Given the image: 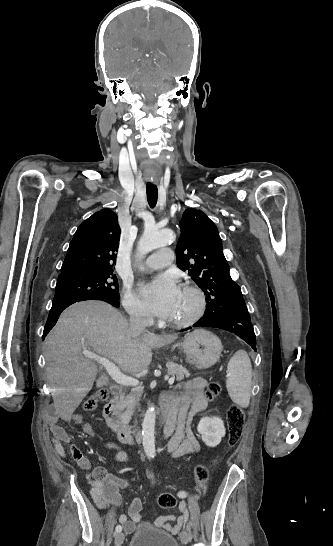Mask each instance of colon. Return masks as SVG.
<instances>
[{"label": "colon", "mask_w": 333, "mask_h": 546, "mask_svg": "<svg viewBox=\"0 0 333 546\" xmlns=\"http://www.w3.org/2000/svg\"><path fill=\"white\" fill-rule=\"evenodd\" d=\"M221 392V386L217 382H211L204 391V396L208 401L215 399ZM109 397V393L106 389H100L95 394L88 397L84 403L83 408L87 411L94 410L99 401H105ZM228 426V439L227 446H235L242 434L243 425L245 422V415L243 410L238 405H231L226 415ZM219 459L215 458L212 461L213 465L218 463ZM195 477L198 492L203 494L207 487L208 481V469L203 465H199L195 469ZM158 504L162 509L174 508L177 504L176 497L169 492L163 493L159 496Z\"/></svg>", "instance_id": "5ec220e1"}]
</instances>
